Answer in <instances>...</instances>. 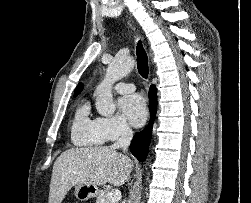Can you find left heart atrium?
<instances>
[{"mask_svg": "<svg viewBox=\"0 0 251 203\" xmlns=\"http://www.w3.org/2000/svg\"><path fill=\"white\" fill-rule=\"evenodd\" d=\"M120 109L130 123L141 126L146 120V104L141 95L132 94L123 97L119 102Z\"/></svg>", "mask_w": 251, "mask_h": 203, "instance_id": "1", "label": "left heart atrium"}]
</instances>
